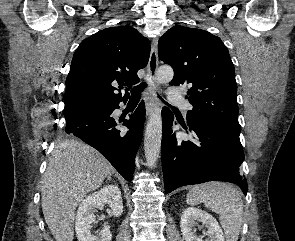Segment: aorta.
Listing matches in <instances>:
<instances>
[{"instance_id":"762f6f07","label":"aorta","mask_w":295,"mask_h":241,"mask_svg":"<svg viewBox=\"0 0 295 241\" xmlns=\"http://www.w3.org/2000/svg\"><path fill=\"white\" fill-rule=\"evenodd\" d=\"M174 72L170 66L164 65L159 67L156 72V82L166 84L173 79ZM162 140V116L161 109L155 107L150 114L144 138V151L147 165L150 168L155 167L159 158Z\"/></svg>"}]
</instances>
